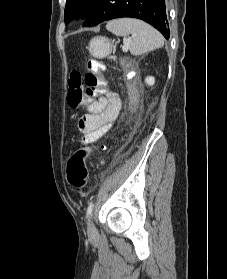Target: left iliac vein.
<instances>
[{
	"mask_svg": "<svg viewBox=\"0 0 227 279\" xmlns=\"http://www.w3.org/2000/svg\"><path fill=\"white\" fill-rule=\"evenodd\" d=\"M88 236L90 238L94 237L96 235V228L94 227V224H93V218L90 217L89 218V222H88Z\"/></svg>",
	"mask_w": 227,
	"mask_h": 279,
	"instance_id": "1",
	"label": "left iliac vein"
}]
</instances>
